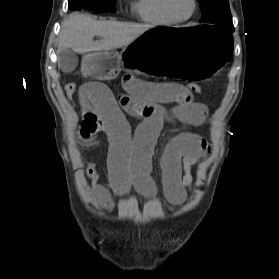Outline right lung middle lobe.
Wrapping results in <instances>:
<instances>
[{
	"label": "right lung middle lobe",
	"instance_id": "right-lung-middle-lobe-1",
	"mask_svg": "<svg viewBox=\"0 0 279 279\" xmlns=\"http://www.w3.org/2000/svg\"><path fill=\"white\" fill-rule=\"evenodd\" d=\"M116 0H69L72 10L89 9L99 12H112L115 10Z\"/></svg>",
	"mask_w": 279,
	"mask_h": 279
}]
</instances>
